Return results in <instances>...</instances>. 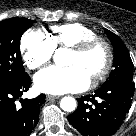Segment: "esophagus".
I'll return each mask as SVG.
<instances>
[{
  "label": "esophagus",
  "instance_id": "obj_1",
  "mask_svg": "<svg viewBox=\"0 0 136 136\" xmlns=\"http://www.w3.org/2000/svg\"><path fill=\"white\" fill-rule=\"evenodd\" d=\"M60 96H54V95H47L46 96V100L50 101V100H55V99H59Z\"/></svg>",
  "mask_w": 136,
  "mask_h": 136
}]
</instances>
